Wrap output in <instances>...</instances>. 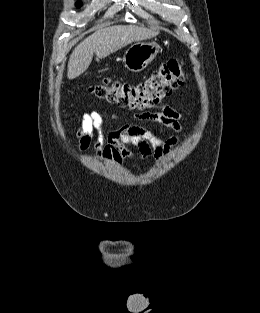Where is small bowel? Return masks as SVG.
<instances>
[{"label":"small bowel","mask_w":260,"mask_h":313,"mask_svg":"<svg viewBox=\"0 0 260 313\" xmlns=\"http://www.w3.org/2000/svg\"><path fill=\"white\" fill-rule=\"evenodd\" d=\"M135 119L161 124L174 134L164 141L153 131L138 124H128L106 132L102 115L92 111L82 116L81 125L76 132L79 149L86 150L95 136L96 155L108 165L121 166L125 159L132 160L130 146L136 147L146 162L166 159L180 140L183 120L181 113L163 105L157 111L139 113Z\"/></svg>","instance_id":"1"}]
</instances>
